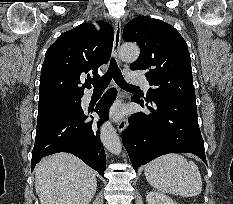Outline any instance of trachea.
<instances>
[{
    "label": "trachea",
    "mask_w": 233,
    "mask_h": 204,
    "mask_svg": "<svg viewBox=\"0 0 233 204\" xmlns=\"http://www.w3.org/2000/svg\"><path fill=\"white\" fill-rule=\"evenodd\" d=\"M112 78L122 89H138L137 86L130 85L124 80L121 70L119 69L114 58L111 59L110 67L102 77L91 79L89 80V82L94 86L95 90H104L105 88H107Z\"/></svg>",
    "instance_id": "3493384b"
}]
</instances>
